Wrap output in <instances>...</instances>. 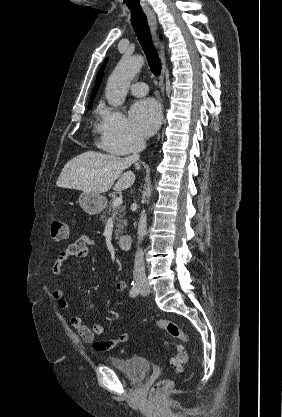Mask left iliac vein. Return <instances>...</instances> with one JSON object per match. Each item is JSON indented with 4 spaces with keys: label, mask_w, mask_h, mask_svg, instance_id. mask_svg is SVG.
I'll list each match as a JSON object with an SVG mask.
<instances>
[{
    "label": "left iliac vein",
    "mask_w": 282,
    "mask_h": 417,
    "mask_svg": "<svg viewBox=\"0 0 282 417\" xmlns=\"http://www.w3.org/2000/svg\"><path fill=\"white\" fill-rule=\"evenodd\" d=\"M140 293H141V295H143V296L148 295V294L150 293V288H149V286H148V285H142V286H141V288H140Z\"/></svg>",
    "instance_id": "left-iliac-vein-1"
}]
</instances>
